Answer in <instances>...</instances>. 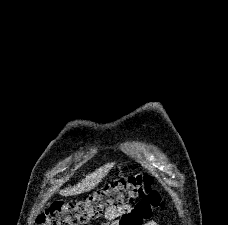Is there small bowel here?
Instances as JSON below:
<instances>
[{
	"label": "small bowel",
	"instance_id": "c3829d8e",
	"mask_svg": "<svg viewBox=\"0 0 228 225\" xmlns=\"http://www.w3.org/2000/svg\"><path fill=\"white\" fill-rule=\"evenodd\" d=\"M146 203V199H139V204H135V207L128 204L120 209L107 211L103 217L105 220L103 225H142L145 223V218H151L150 204ZM145 225H158V223L151 219Z\"/></svg>",
	"mask_w": 228,
	"mask_h": 225
}]
</instances>
